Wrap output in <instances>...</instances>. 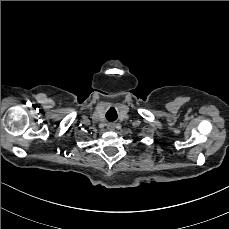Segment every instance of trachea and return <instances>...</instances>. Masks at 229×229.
Returning a JSON list of instances; mask_svg holds the SVG:
<instances>
[{"label": "trachea", "mask_w": 229, "mask_h": 229, "mask_svg": "<svg viewBox=\"0 0 229 229\" xmlns=\"http://www.w3.org/2000/svg\"><path fill=\"white\" fill-rule=\"evenodd\" d=\"M108 121H115L117 119V112L114 108H110L106 113Z\"/></svg>", "instance_id": "trachea-1"}]
</instances>
